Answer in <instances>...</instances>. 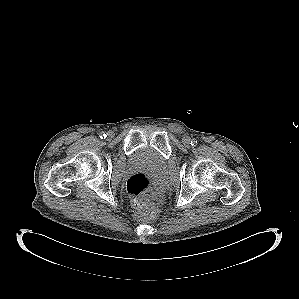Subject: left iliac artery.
Here are the masks:
<instances>
[{"instance_id": "obj_1", "label": "left iliac artery", "mask_w": 299, "mask_h": 299, "mask_svg": "<svg viewBox=\"0 0 299 299\" xmlns=\"http://www.w3.org/2000/svg\"><path fill=\"white\" fill-rule=\"evenodd\" d=\"M190 144L192 146H196L197 145V140L196 139H192Z\"/></svg>"}]
</instances>
